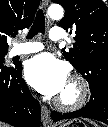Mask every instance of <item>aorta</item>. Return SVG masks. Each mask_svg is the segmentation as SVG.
<instances>
[{"label":"aorta","instance_id":"762f6f07","mask_svg":"<svg viewBox=\"0 0 108 127\" xmlns=\"http://www.w3.org/2000/svg\"><path fill=\"white\" fill-rule=\"evenodd\" d=\"M64 15L63 8L58 4H52L48 8V16L53 20H60Z\"/></svg>","mask_w":108,"mask_h":127}]
</instances>
